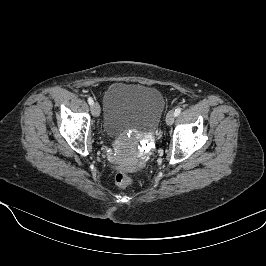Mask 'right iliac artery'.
<instances>
[{"instance_id": "1", "label": "right iliac artery", "mask_w": 266, "mask_h": 266, "mask_svg": "<svg viewBox=\"0 0 266 266\" xmlns=\"http://www.w3.org/2000/svg\"><path fill=\"white\" fill-rule=\"evenodd\" d=\"M88 103H89L91 106L93 105L94 101H93V99H92L91 97L88 98Z\"/></svg>"}]
</instances>
